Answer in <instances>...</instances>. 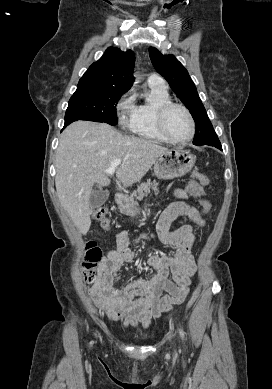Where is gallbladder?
<instances>
[{
    "mask_svg": "<svg viewBox=\"0 0 272 389\" xmlns=\"http://www.w3.org/2000/svg\"><path fill=\"white\" fill-rule=\"evenodd\" d=\"M109 197L108 190H104L100 187L95 188L90 196V206L93 210L101 207Z\"/></svg>",
    "mask_w": 272,
    "mask_h": 389,
    "instance_id": "obj_1",
    "label": "gallbladder"
}]
</instances>
